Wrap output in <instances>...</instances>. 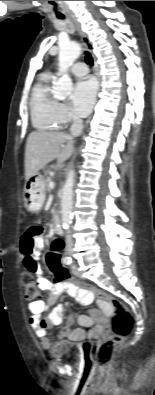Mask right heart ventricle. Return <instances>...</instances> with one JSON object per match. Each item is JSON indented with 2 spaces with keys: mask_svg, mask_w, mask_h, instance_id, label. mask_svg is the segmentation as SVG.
<instances>
[{
  "mask_svg": "<svg viewBox=\"0 0 155 395\" xmlns=\"http://www.w3.org/2000/svg\"><path fill=\"white\" fill-rule=\"evenodd\" d=\"M53 79L52 74H42L32 89L30 98L31 121L38 130H56L62 125L58 117L59 102L51 92Z\"/></svg>",
  "mask_w": 155,
  "mask_h": 395,
  "instance_id": "e07e8e85",
  "label": "right heart ventricle"
}]
</instances>
